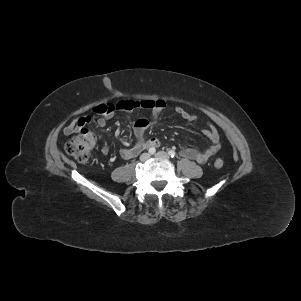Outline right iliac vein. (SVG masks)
Instances as JSON below:
<instances>
[{
	"instance_id": "right-iliac-vein-1",
	"label": "right iliac vein",
	"mask_w": 301,
	"mask_h": 301,
	"mask_svg": "<svg viewBox=\"0 0 301 301\" xmlns=\"http://www.w3.org/2000/svg\"><path fill=\"white\" fill-rule=\"evenodd\" d=\"M149 154L148 153H143L141 156H140V161L141 162H145L148 158H149Z\"/></svg>"
}]
</instances>
